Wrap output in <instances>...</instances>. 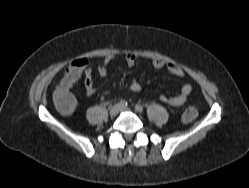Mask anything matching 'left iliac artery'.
Here are the masks:
<instances>
[{"label":"left iliac artery","instance_id":"obj_1","mask_svg":"<svg viewBox=\"0 0 249 188\" xmlns=\"http://www.w3.org/2000/svg\"><path fill=\"white\" fill-rule=\"evenodd\" d=\"M135 110L140 112V113H142L144 111L143 107L141 105H138V104L135 106Z\"/></svg>","mask_w":249,"mask_h":188}]
</instances>
